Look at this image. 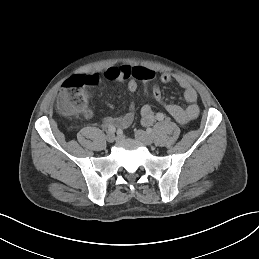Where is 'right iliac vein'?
Here are the masks:
<instances>
[{
  "instance_id": "right-iliac-vein-1",
  "label": "right iliac vein",
  "mask_w": 259,
  "mask_h": 259,
  "mask_svg": "<svg viewBox=\"0 0 259 259\" xmlns=\"http://www.w3.org/2000/svg\"><path fill=\"white\" fill-rule=\"evenodd\" d=\"M106 140H107L109 143L114 142V140H115V135H114L113 133H108L107 136H106Z\"/></svg>"
}]
</instances>
